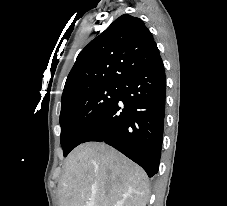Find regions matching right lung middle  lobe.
<instances>
[{"instance_id":"right-lung-middle-lobe-1","label":"right lung middle lobe","mask_w":227,"mask_h":206,"mask_svg":"<svg viewBox=\"0 0 227 206\" xmlns=\"http://www.w3.org/2000/svg\"><path fill=\"white\" fill-rule=\"evenodd\" d=\"M121 83H110L79 91L61 102V146L64 156L82 143L91 128L117 100Z\"/></svg>"}]
</instances>
